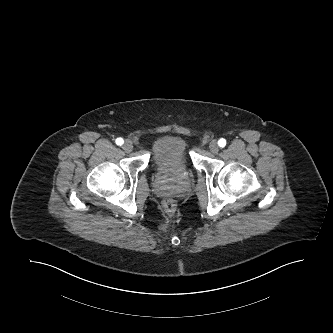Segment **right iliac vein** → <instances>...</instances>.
Instances as JSON below:
<instances>
[{
	"label": "right iliac vein",
	"mask_w": 333,
	"mask_h": 333,
	"mask_svg": "<svg viewBox=\"0 0 333 333\" xmlns=\"http://www.w3.org/2000/svg\"><path fill=\"white\" fill-rule=\"evenodd\" d=\"M122 148L125 152L129 153L133 150V143L130 140H126Z\"/></svg>",
	"instance_id": "obj_1"
}]
</instances>
